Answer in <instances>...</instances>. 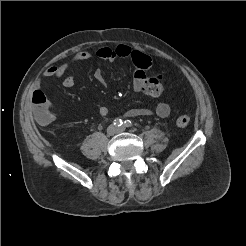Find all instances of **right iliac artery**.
<instances>
[{"mask_svg":"<svg viewBox=\"0 0 246 246\" xmlns=\"http://www.w3.org/2000/svg\"><path fill=\"white\" fill-rule=\"evenodd\" d=\"M123 124V121L121 120V119H119V118H117V119H115L114 121H113V125H115V126H121Z\"/></svg>","mask_w":246,"mask_h":246,"instance_id":"82829eb1","label":"right iliac artery"}]
</instances>
